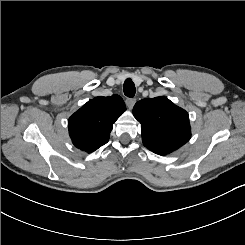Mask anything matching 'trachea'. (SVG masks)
I'll return each instance as SVG.
<instances>
[{
  "instance_id": "1",
  "label": "trachea",
  "mask_w": 245,
  "mask_h": 245,
  "mask_svg": "<svg viewBox=\"0 0 245 245\" xmlns=\"http://www.w3.org/2000/svg\"><path fill=\"white\" fill-rule=\"evenodd\" d=\"M123 91L127 97H131V98L134 97L136 93V88L131 78H127L125 80L123 85Z\"/></svg>"
}]
</instances>
